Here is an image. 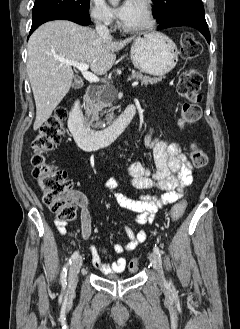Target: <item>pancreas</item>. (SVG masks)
I'll return each mask as SVG.
<instances>
[{
  "mask_svg": "<svg viewBox=\"0 0 240 329\" xmlns=\"http://www.w3.org/2000/svg\"><path fill=\"white\" fill-rule=\"evenodd\" d=\"M131 78L140 80L141 85L156 84L157 82L162 80V77H150L143 75L140 72L133 73L131 75ZM112 101L113 98H106L104 88H100L97 91L96 95H93L92 97H86V114L89 118V123L92 125L93 128H103L105 125L104 122L99 121V112H102V114H106V117L108 119L107 123L111 121V119L113 118V113H110V111H103V109L106 107H110L112 105ZM94 121H96V123L93 124Z\"/></svg>",
  "mask_w": 240,
  "mask_h": 329,
  "instance_id": "obj_1",
  "label": "pancreas"
}]
</instances>
